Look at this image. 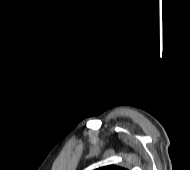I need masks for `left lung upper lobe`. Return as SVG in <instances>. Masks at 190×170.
<instances>
[{
    "label": "left lung upper lobe",
    "mask_w": 190,
    "mask_h": 170,
    "mask_svg": "<svg viewBox=\"0 0 190 170\" xmlns=\"http://www.w3.org/2000/svg\"><path fill=\"white\" fill-rule=\"evenodd\" d=\"M97 170H127V169L115 165H109V166L100 167Z\"/></svg>",
    "instance_id": "obj_1"
}]
</instances>
